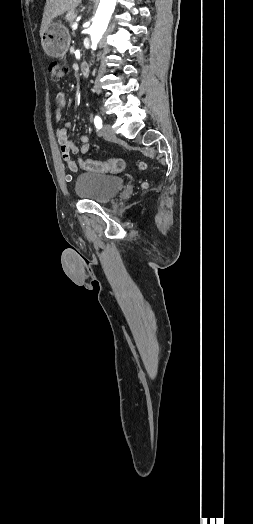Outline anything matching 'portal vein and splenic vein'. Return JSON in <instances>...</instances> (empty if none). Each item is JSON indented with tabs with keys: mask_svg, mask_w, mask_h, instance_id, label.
I'll list each match as a JSON object with an SVG mask.
<instances>
[{
	"mask_svg": "<svg viewBox=\"0 0 253 524\" xmlns=\"http://www.w3.org/2000/svg\"><path fill=\"white\" fill-rule=\"evenodd\" d=\"M77 27H78V23H77V22H74V23L72 24V28H73V29H77Z\"/></svg>",
	"mask_w": 253,
	"mask_h": 524,
	"instance_id": "1",
	"label": "portal vein and splenic vein"
}]
</instances>
